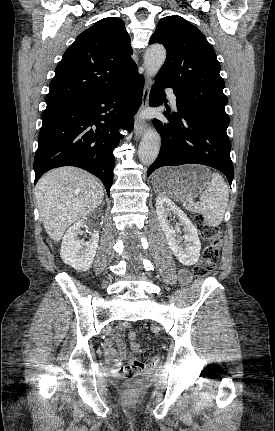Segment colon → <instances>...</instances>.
<instances>
[{
  "instance_id": "5ec220e1",
  "label": "colon",
  "mask_w": 275,
  "mask_h": 431,
  "mask_svg": "<svg viewBox=\"0 0 275 431\" xmlns=\"http://www.w3.org/2000/svg\"><path fill=\"white\" fill-rule=\"evenodd\" d=\"M194 223L200 236L206 240L208 244L203 249L202 255L195 264L193 272L197 277H206L215 269L219 258V250L222 246V233L217 226L208 224L202 215H197L194 218ZM128 337L133 340L135 338V333L130 331ZM131 348L133 351L138 352V354L133 361L121 367L120 374L129 380L126 384V391L130 394H135L139 391L141 385L134 377L144 369L147 361H150L151 364H156L159 361V357H150L149 350H139V345L135 342L131 344Z\"/></svg>"
}]
</instances>
